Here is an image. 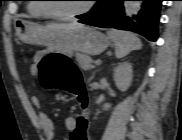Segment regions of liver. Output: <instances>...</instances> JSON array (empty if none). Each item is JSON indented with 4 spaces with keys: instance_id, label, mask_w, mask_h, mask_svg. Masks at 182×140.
I'll use <instances>...</instances> for the list:
<instances>
[{
    "instance_id": "6515ba94",
    "label": "liver",
    "mask_w": 182,
    "mask_h": 140,
    "mask_svg": "<svg viewBox=\"0 0 182 140\" xmlns=\"http://www.w3.org/2000/svg\"><path fill=\"white\" fill-rule=\"evenodd\" d=\"M83 25L78 22L63 23V24H49L45 28L48 30H71L80 28Z\"/></svg>"
}]
</instances>
